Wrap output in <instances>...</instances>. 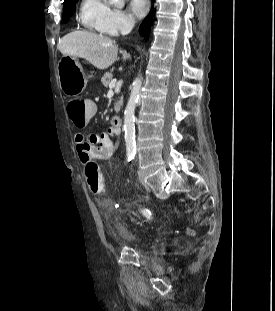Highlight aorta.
I'll return each mask as SVG.
<instances>
[{
	"label": "aorta",
	"mask_w": 275,
	"mask_h": 311,
	"mask_svg": "<svg viewBox=\"0 0 275 311\" xmlns=\"http://www.w3.org/2000/svg\"><path fill=\"white\" fill-rule=\"evenodd\" d=\"M111 5L122 8L125 5V0H108ZM142 87V78H136L132 84L131 94L124 112V131L127 152L134 153L135 146V107L139 98Z\"/></svg>",
	"instance_id": "obj_1"
}]
</instances>
